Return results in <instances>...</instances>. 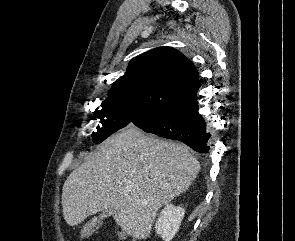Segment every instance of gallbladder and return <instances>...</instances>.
Here are the masks:
<instances>
[{"instance_id":"gallbladder-1","label":"gallbladder","mask_w":295,"mask_h":241,"mask_svg":"<svg viewBox=\"0 0 295 241\" xmlns=\"http://www.w3.org/2000/svg\"><path fill=\"white\" fill-rule=\"evenodd\" d=\"M112 214V209H107V210H104L102 215L103 217H108Z\"/></svg>"}]
</instances>
